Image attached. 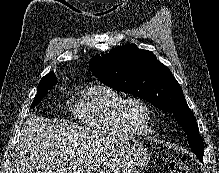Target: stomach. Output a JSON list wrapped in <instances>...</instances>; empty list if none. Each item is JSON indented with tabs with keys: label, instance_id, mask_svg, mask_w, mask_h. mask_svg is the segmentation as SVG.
<instances>
[{
	"label": "stomach",
	"instance_id": "0dacf381",
	"mask_svg": "<svg viewBox=\"0 0 219 173\" xmlns=\"http://www.w3.org/2000/svg\"><path fill=\"white\" fill-rule=\"evenodd\" d=\"M150 158L147 148L142 144L126 143L106 158L96 173H139Z\"/></svg>",
	"mask_w": 219,
	"mask_h": 173
}]
</instances>
